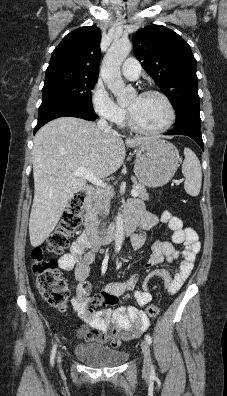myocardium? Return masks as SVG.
Listing matches in <instances>:
<instances>
[{"mask_svg":"<svg viewBox=\"0 0 227 396\" xmlns=\"http://www.w3.org/2000/svg\"><path fill=\"white\" fill-rule=\"evenodd\" d=\"M140 95L141 96H157V97H159L165 103V105L168 109V113H169L168 120L160 128L146 129V128L139 126L136 123L131 111L127 108V123L129 125V127L132 130H134L135 132L140 133V134H145V135H159V134H162V133L168 131L173 126L175 119H176L175 108H174L171 100L164 93L157 91V90H145V91L141 92Z\"/></svg>","mask_w":227,"mask_h":396,"instance_id":"obj_1","label":"myocardium"}]
</instances>
